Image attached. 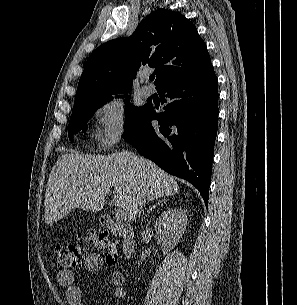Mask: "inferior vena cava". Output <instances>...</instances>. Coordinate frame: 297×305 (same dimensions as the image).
I'll return each mask as SVG.
<instances>
[{
  "instance_id": "obj_1",
  "label": "inferior vena cava",
  "mask_w": 297,
  "mask_h": 305,
  "mask_svg": "<svg viewBox=\"0 0 297 305\" xmlns=\"http://www.w3.org/2000/svg\"><path fill=\"white\" fill-rule=\"evenodd\" d=\"M127 157L129 158L130 164L136 168H139V161L137 157L132 152H126ZM146 197L143 189H141L137 195V208L136 212L140 216L143 211V206L145 205Z\"/></svg>"
}]
</instances>
